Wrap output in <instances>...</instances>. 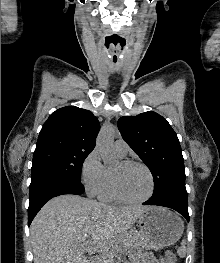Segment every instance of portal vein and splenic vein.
I'll list each match as a JSON object with an SVG mask.
<instances>
[{
    "label": "portal vein and splenic vein",
    "instance_id": "obj_1",
    "mask_svg": "<svg viewBox=\"0 0 220 263\" xmlns=\"http://www.w3.org/2000/svg\"><path fill=\"white\" fill-rule=\"evenodd\" d=\"M86 250H87L89 253H94L95 251H97V247L95 246L94 243L87 244V245H86Z\"/></svg>",
    "mask_w": 220,
    "mask_h": 263
}]
</instances>
